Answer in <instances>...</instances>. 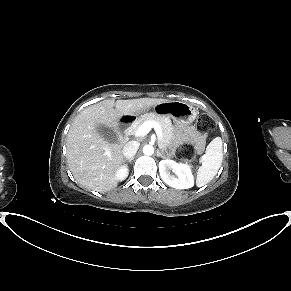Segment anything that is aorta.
I'll use <instances>...</instances> for the list:
<instances>
[{"label": "aorta", "mask_w": 291, "mask_h": 291, "mask_svg": "<svg viewBox=\"0 0 291 291\" xmlns=\"http://www.w3.org/2000/svg\"><path fill=\"white\" fill-rule=\"evenodd\" d=\"M143 153L148 156L154 154V147L150 144L145 145L143 147Z\"/></svg>", "instance_id": "obj_1"}]
</instances>
